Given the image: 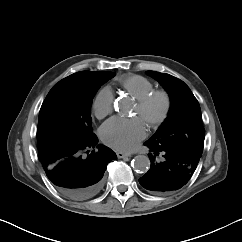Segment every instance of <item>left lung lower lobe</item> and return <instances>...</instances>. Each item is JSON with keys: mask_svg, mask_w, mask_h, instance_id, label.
Masks as SVG:
<instances>
[{"mask_svg": "<svg viewBox=\"0 0 242 242\" xmlns=\"http://www.w3.org/2000/svg\"><path fill=\"white\" fill-rule=\"evenodd\" d=\"M150 148L149 158L151 167L139 179L142 187L155 192H168L180 189L192 177L201 156L179 148H166L154 144L144 143ZM162 155V162H155L158 154Z\"/></svg>", "mask_w": 242, "mask_h": 242, "instance_id": "obj_1", "label": "left lung lower lobe"}]
</instances>
